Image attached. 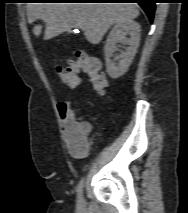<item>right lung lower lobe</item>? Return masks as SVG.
<instances>
[{
	"instance_id": "98d812e1",
	"label": "right lung lower lobe",
	"mask_w": 188,
	"mask_h": 213,
	"mask_svg": "<svg viewBox=\"0 0 188 213\" xmlns=\"http://www.w3.org/2000/svg\"><path fill=\"white\" fill-rule=\"evenodd\" d=\"M90 1L135 2L138 3L143 8L149 20L151 22L153 21L156 0H90Z\"/></svg>"
}]
</instances>
